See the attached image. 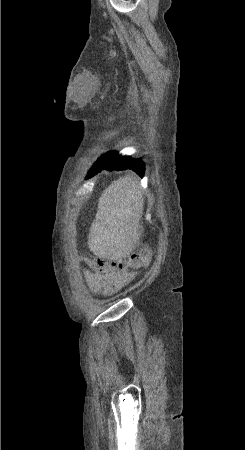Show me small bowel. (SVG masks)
I'll return each instance as SVG.
<instances>
[{"mask_svg": "<svg viewBox=\"0 0 245 450\" xmlns=\"http://www.w3.org/2000/svg\"><path fill=\"white\" fill-rule=\"evenodd\" d=\"M87 261V259H85ZM83 275L89 286L95 292H114L121 289L135 277L134 272L117 273L112 270L97 275L90 270H83Z\"/></svg>", "mask_w": 245, "mask_h": 450, "instance_id": "obj_1", "label": "small bowel"}]
</instances>
